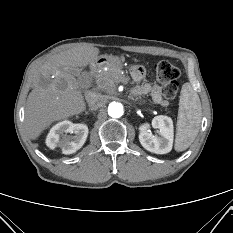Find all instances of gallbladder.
I'll use <instances>...</instances> for the list:
<instances>
[{"label": "gallbladder", "instance_id": "obj_1", "mask_svg": "<svg viewBox=\"0 0 233 233\" xmlns=\"http://www.w3.org/2000/svg\"><path fill=\"white\" fill-rule=\"evenodd\" d=\"M72 73H73L74 75L79 76L80 70H79V69L73 70Z\"/></svg>", "mask_w": 233, "mask_h": 233}]
</instances>
